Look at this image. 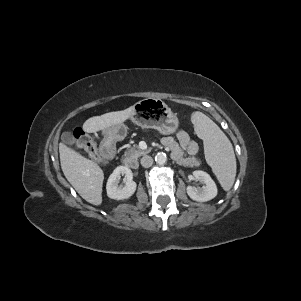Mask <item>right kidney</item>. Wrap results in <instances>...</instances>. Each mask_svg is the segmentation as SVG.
<instances>
[{
    "instance_id": "right-kidney-1",
    "label": "right kidney",
    "mask_w": 301,
    "mask_h": 301,
    "mask_svg": "<svg viewBox=\"0 0 301 301\" xmlns=\"http://www.w3.org/2000/svg\"><path fill=\"white\" fill-rule=\"evenodd\" d=\"M121 175L125 176L124 186L118 185ZM132 179V171L127 166H118L108 178L106 185L107 196L115 200L130 198L137 187V184Z\"/></svg>"
}]
</instances>
